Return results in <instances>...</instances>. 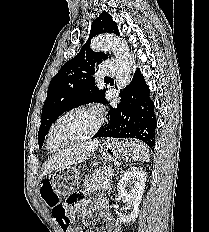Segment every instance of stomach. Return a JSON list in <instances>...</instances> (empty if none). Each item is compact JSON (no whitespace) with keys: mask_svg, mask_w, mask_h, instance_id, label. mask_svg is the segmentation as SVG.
<instances>
[{"mask_svg":"<svg viewBox=\"0 0 209 232\" xmlns=\"http://www.w3.org/2000/svg\"><path fill=\"white\" fill-rule=\"evenodd\" d=\"M135 146L131 140L108 139L100 145V152L105 160L114 161L133 155ZM80 175L81 172L73 166L59 169L54 172L51 179L52 188L59 195H67L72 190H76L79 183L83 182V179L79 178Z\"/></svg>","mask_w":209,"mask_h":232,"instance_id":"obj_1","label":"stomach"}]
</instances>
